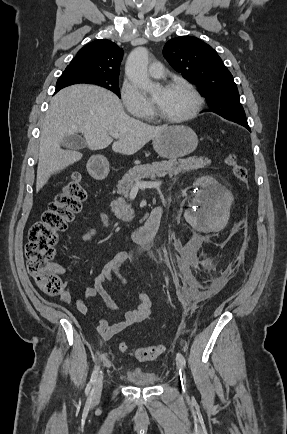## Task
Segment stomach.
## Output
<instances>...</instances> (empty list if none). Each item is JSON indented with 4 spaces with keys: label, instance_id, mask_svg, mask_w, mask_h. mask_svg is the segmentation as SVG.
Masks as SVG:
<instances>
[{
    "label": "stomach",
    "instance_id": "0dacf381",
    "mask_svg": "<svg viewBox=\"0 0 287 434\" xmlns=\"http://www.w3.org/2000/svg\"><path fill=\"white\" fill-rule=\"evenodd\" d=\"M197 145L196 133L184 125L170 126L153 139V147L158 155L170 160L192 153Z\"/></svg>",
    "mask_w": 287,
    "mask_h": 434
}]
</instances>
